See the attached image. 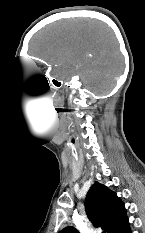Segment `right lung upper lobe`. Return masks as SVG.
Segmentation results:
<instances>
[{"label":"right lung upper lobe","mask_w":145,"mask_h":233,"mask_svg":"<svg viewBox=\"0 0 145 233\" xmlns=\"http://www.w3.org/2000/svg\"><path fill=\"white\" fill-rule=\"evenodd\" d=\"M85 209L93 225L101 226L103 233H112L126 219L124 203L116 193L106 186L95 182L85 200ZM59 233H79L75 228L67 226Z\"/></svg>","instance_id":"right-lung-upper-lobe-1"}]
</instances>
